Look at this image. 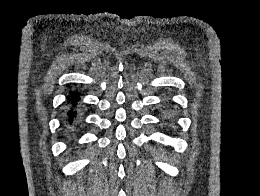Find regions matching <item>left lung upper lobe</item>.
Wrapping results in <instances>:
<instances>
[{"instance_id": "obj_1", "label": "left lung upper lobe", "mask_w": 260, "mask_h": 196, "mask_svg": "<svg viewBox=\"0 0 260 196\" xmlns=\"http://www.w3.org/2000/svg\"><path fill=\"white\" fill-rule=\"evenodd\" d=\"M166 120L168 123H173V115L172 114H167L166 115Z\"/></svg>"}]
</instances>
